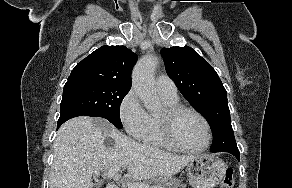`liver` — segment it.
<instances>
[{
  "label": "liver",
  "mask_w": 292,
  "mask_h": 188,
  "mask_svg": "<svg viewBox=\"0 0 292 188\" xmlns=\"http://www.w3.org/2000/svg\"><path fill=\"white\" fill-rule=\"evenodd\" d=\"M107 138L114 141L106 147ZM195 156L176 155L136 142L104 119L80 116L65 122L54 141L50 188H91L92 175L127 167L133 180L171 176Z\"/></svg>",
  "instance_id": "obj_1"
}]
</instances>
